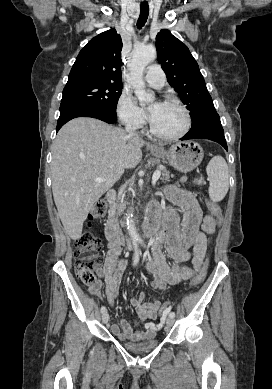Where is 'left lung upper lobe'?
I'll return each mask as SVG.
<instances>
[{
  "instance_id": "obj_1",
  "label": "left lung upper lobe",
  "mask_w": 272,
  "mask_h": 389,
  "mask_svg": "<svg viewBox=\"0 0 272 389\" xmlns=\"http://www.w3.org/2000/svg\"><path fill=\"white\" fill-rule=\"evenodd\" d=\"M158 62L168 83L181 96L190 111L192 124L215 110L199 66L188 47L167 29L156 36Z\"/></svg>"
}]
</instances>
